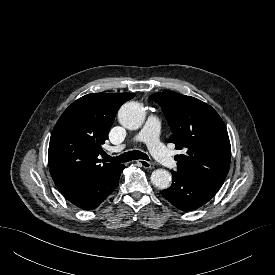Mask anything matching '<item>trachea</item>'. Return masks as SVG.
Returning a JSON list of instances; mask_svg holds the SVG:
<instances>
[{
	"instance_id": "1",
	"label": "trachea",
	"mask_w": 275,
	"mask_h": 275,
	"mask_svg": "<svg viewBox=\"0 0 275 275\" xmlns=\"http://www.w3.org/2000/svg\"><path fill=\"white\" fill-rule=\"evenodd\" d=\"M105 159H106V161L113 162V163H125V162H129L132 160H138V159H143V160L149 161V157L145 153L138 151V150H132V151L125 152V153L119 155L118 157L106 156Z\"/></svg>"
}]
</instances>
